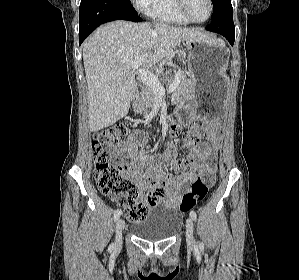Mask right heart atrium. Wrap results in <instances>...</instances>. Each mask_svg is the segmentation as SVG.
<instances>
[{"label": "right heart atrium", "mask_w": 299, "mask_h": 280, "mask_svg": "<svg viewBox=\"0 0 299 280\" xmlns=\"http://www.w3.org/2000/svg\"><path fill=\"white\" fill-rule=\"evenodd\" d=\"M152 0H131L134 7L140 11H147Z\"/></svg>", "instance_id": "1"}]
</instances>
